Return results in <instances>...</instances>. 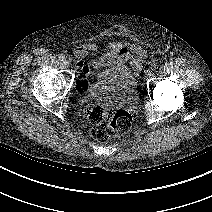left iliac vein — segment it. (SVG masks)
<instances>
[{
  "instance_id": "1",
  "label": "left iliac vein",
  "mask_w": 212,
  "mask_h": 212,
  "mask_svg": "<svg viewBox=\"0 0 212 212\" xmlns=\"http://www.w3.org/2000/svg\"><path fill=\"white\" fill-rule=\"evenodd\" d=\"M150 76H151V71L150 70H146L145 74H144V77L145 78H149Z\"/></svg>"
}]
</instances>
